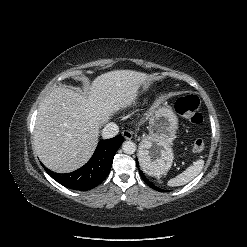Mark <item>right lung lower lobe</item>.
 <instances>
[{
    "mask_svg": "<svg viewBox=\"0 0 247 247\" xmlns=\"http://www.w3.org/2000/svg\"><path fill=\"white\" fill-rule=\"evenodd\" d=\"M124 141L123 136L102 140L91 157L81 168L67 174L54 173L45 166L46 172L61 185L80 191L99 185L109 174L114 155Z\"/></svg>",
    "mask_w": 247,
    "mask_h": 247,
    "instance_id": "obj_1",
    "label": "right lung lower lobe"
}]
</instances>
